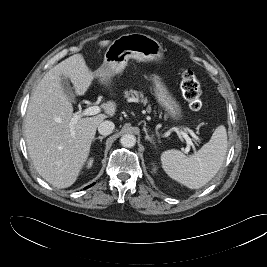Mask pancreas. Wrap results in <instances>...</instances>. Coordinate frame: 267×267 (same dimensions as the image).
I'll return each instance as SVG.
<instances>
[{
	"label": "pancreas",
	"instance_id": "cf45deb5",
	"mask_svg": "<svg viewBox=\"0 0 267 267\" xmlns=\"http://www.w3.org/2000/svg\"><path fill=\"white\" fill-rule=\"evenodd\" d=\"M124 96L128 99L130 102H141L143 105H146L148 103V99L144 97L143 93L138 92L136 90H129L124 92ZM152 111L151 106H147V112L150 113Z\"/></svg>",
	"mask_w": 267,
	"mask_h": 267
}]
</instances>
